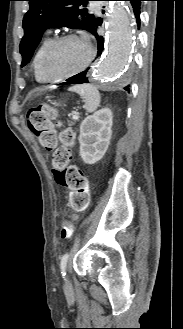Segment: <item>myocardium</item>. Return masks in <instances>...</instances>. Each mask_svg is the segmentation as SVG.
Instances as JSON below:
<instances>
[{
	"label": "myocardium",
	"mask_w": 183,
	"mask_h": 329,
	"mask_svg": "<svg viewBox=\"0 0 183 329\" xmlns=\"http://www.w3.org/2000/svg\"><path fill=\"white\" fill-rule=\"evenodd\" d=\"M70 39H80V40H83L87 44L88 49H89L88 58H87L86 62L80 68H78V69H76L72 72H69V73H66V74H63V75H52L50 70H49V67H48V61H49L50 55L53 52V50L60 43L66 41V40H70ZM94 57H95V50H94L93 46L90 43H88L86 40H84L83 38H81L78 35L65 34V35H62V36H59V37L53 39L51 41V43L48 45V47L46 48V50L43 54V57H42V70H43V73L45 74L46 78L49 81H61V80L71 78V77L83 72L91 64Z\"/></svg>",
	"instance_id": "1"
}]
</instances>
